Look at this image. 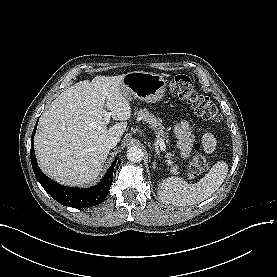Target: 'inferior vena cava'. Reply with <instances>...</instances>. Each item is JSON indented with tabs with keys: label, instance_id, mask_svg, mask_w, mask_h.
I'll return each instance as SVG.
<instances>
[{
	"label": "inferior vena cava",
	"instance_id": "obj_1",
	"mask_svg": "<svg viewBox=\"0 0 277 277\" xmlns=\"http://www.w3.org/2000/svg\"><path fill=\"white\" fill-rule=\"evenodd\" d=\"M118 142H119V140L117 139V137L110 136L106 139L104 144L107 148L110 149V148L115 147Z\"/></svg>",
	"mask_w": 277,
	"mask_h": 277
}]
</instances>
